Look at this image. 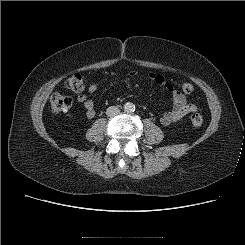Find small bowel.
Returning <instances> with one entry per match:
<instances>
[{
	"label": "small bowel",
	"mask_w": 245,
	"mask_h": 245,
	"mask_svg": "<svg viewBox=\"0 0 245 245\" xmlns=\"http://www.w3.org/2000/svg\"><path fill=\"white\" fill-rule=\"evenodd\" d=\"M136 72H132L131 76H135ZM148 78L165 87L170 95H171V109L163 113L160 117V122L165 125H171L180 119H182L187 114L194 112L196 107L191 102H188L185 96L180 93L174 85L169 82L163 75L151 72L148 74ZM97 89V85L95 83H91L88 86V92L94 93ZM77 100L83 104L85 108V114L87 118H93L96 114L94 103L91 99H89L85 94L81 93L77 96Z\"/></svg>",
	"instance_id": "obj_1"
}]
</instances>
